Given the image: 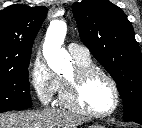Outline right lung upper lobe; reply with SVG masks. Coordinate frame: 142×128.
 <instances>
[{
    "label": "right lung upper lobe",
    "instance_id": "obj_1",
    "mask_svg": "<svg viewBox=\"0 0 142 128\" xmlns=\"http://www.w3.org/2000/svg\"><path fill=\"white\" fill-rule=\"evenodd\" d=\"M47 8L11 5L0 11V70L19 67L30 60L33 41Z\"/></svg>",
    "mask_w": 142,
    "mask_h": 128
}]
</instances>
